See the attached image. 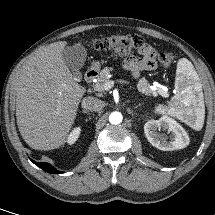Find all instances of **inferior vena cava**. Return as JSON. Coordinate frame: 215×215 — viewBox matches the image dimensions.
I'll use <instances>...</instances> for the list:
<instances>
[{
  "label": "inferior vena cava",
  "mask_w": 215,
  "mask_h": 215,
  "mask_svg": "<svg viewBox=\"0 0 215 215\" xmlns=\"http://www.w3.org/2000/svg\"><path fill=\"white\" fill-rule=\"evenodd\" d=\"M82 107L90 111H99L104 107V102L96 97L88 96L82 100Z\"/></svg>",
  "instance_id": "inferior-vena-cava-1"
}]
</instances>
